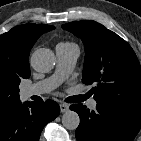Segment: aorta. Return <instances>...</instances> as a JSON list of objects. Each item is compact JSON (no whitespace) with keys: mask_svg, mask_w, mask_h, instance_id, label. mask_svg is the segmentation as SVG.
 Wrapping results in <instances>:
<instances>
[{"mask_svg":"<svg viewBox=\"0 0 141 141\" xmlns=\"http://www.w3.org/2000/svg\"><path fill=\"white\" fill-rule=\"evenodd\" d=\"M34 70L42 73L51 71L55 65L54 53L46 48H40L33 52L30 58ZM80 123L79 115L75 111L68 110L62 116V124L68 130H75Z\"/></svg>","mask_w":141,"mask_h":141,"instance_id":"aorta-1","label":"aorta"}]
</instances>
